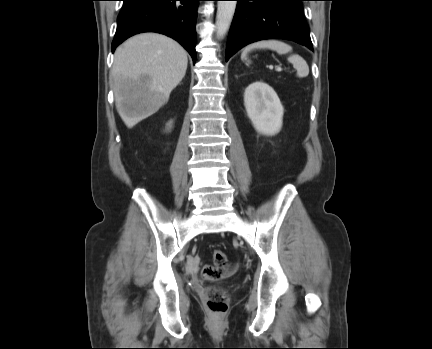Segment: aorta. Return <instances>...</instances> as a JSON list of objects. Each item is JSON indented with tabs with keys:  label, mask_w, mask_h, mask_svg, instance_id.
Returning <instances> with one entry per match:
<instances>
[{
	"label": "aorta",
	"mask_w": 432,
	"mask_h": 349,
	"mask_svg": "<svg viewBox=\"0 0 432 349\" xmlns=\"http://www.w3.org/2000/svg\"><path fill=\"white\" fill-rule=\"evenodd\" d=\"M236 1H218L216 15V36L221 39L227 33L236 9Z\"/></svg>",
	"instance_id": "1"
}]
</instances>
